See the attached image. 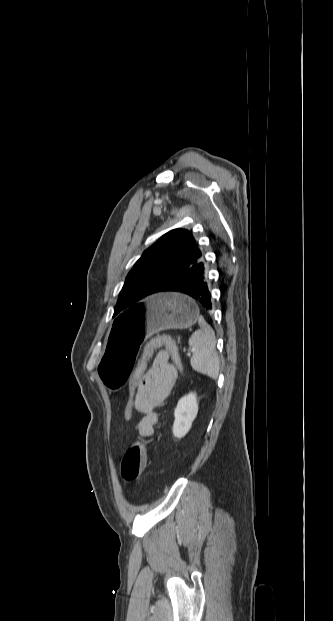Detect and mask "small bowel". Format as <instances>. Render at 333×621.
Wrapping results in <instances>:
<instances>
[{"instance_id":"1","label":"small bowel","mask_w":333,"mask_h":621,"mask_svg":"<svg viewBox=\"0 0 333 621\" xmlns=\"http://www.w3.org/2000/svg\"><path fill=\"white\" fill-rule=\"evenodd\" d=\"M177 380V370L166 351H160L145 372L134 399V408L142 414L135 425L141 437H150L157 422L155 409L168 397Z\"/></svg>"}]
</instances>
